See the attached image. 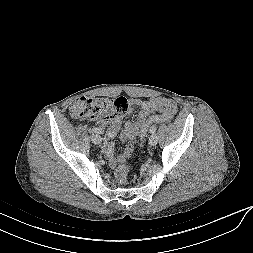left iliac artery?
Returning a JSON list of instances; mask_svg holds the SVG:
<instances>
[{
    "instance_id": "left-iliac-artery-1",
    "label": "left iliac artery",
    "mask_w": 253,
    "mask_h": 253,
    "mask_svg": "<svg viewBox=\"0 0 253 253\" xmlns=\"http://www.w3.org/2000/svg\"><path fill=\"white\" fill-rule=\"evenodd\" d=\"M156 129L157 127L155 125H153L151 128H150V133H155L156 132Z\"/></svg>"
}]
</instances>
